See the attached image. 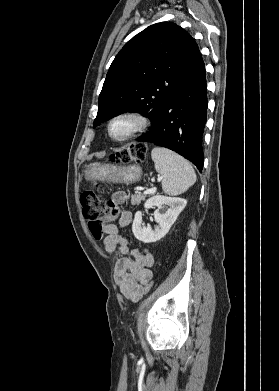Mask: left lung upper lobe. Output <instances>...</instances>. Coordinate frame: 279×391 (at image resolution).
<instances>
[{
    "label": "left lung upper lobe",
    "instance_id": "1",
    "mask_svg": "<svg viewBox=\"0 0 279 391\" xmlns=\"http://www.w3.org/2000/svg\"><path fill=\"white\" fill-rule=\"evenodd\" d=\"M201 58L198 45L180 26L171 22L149 26L134 36L112 62L93 125L124 112H138L153 126Z\"/></svg>",
    "mask_w": 279,
    "mask_h": 391
}]
</instances>
